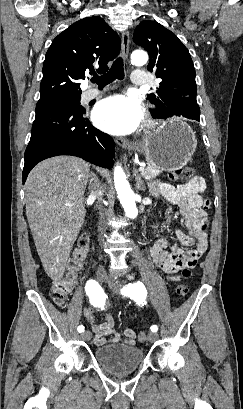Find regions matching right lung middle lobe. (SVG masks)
I'll return each mask as SVG.
<instances>
[{"instance_id": "obj_1", "label": "right lung middle lobe", "mask_w": 243, "mask_h": 409, "mask_svg": "<svg viewBox=\"0 0 243 409\" xmlns=\"http://www.w3.org/2000/svg\"><path fill=\"white\" fill-rule=\"evenodd\" d=\"M38 103H48V104H56V105H68L71 107H79L80 106V96H74V97H66V98H56V99H51L43 102H38Z\"/></svg>"}]
</instances>
